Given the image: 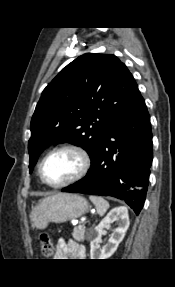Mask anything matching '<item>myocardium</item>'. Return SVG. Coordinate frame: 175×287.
I'll list each match as a JSON object with an SVG mask.
<instances>
[{"instance_id":"1","label":"myocardium","mask_w":175,"mask_h":287,"mask_svg":"<svg viewBox=\"0 0 175 287\" xmlns=\"http://www.w3.org/2000/svg\"><path fill=\"white\" fill-rule=\"evenodd\" d=\"M65 150L72 151L79 156V158L81 160L80 169L73 177H71L70 179H68L62 183H58V184L49 183L44 178V173H43L44 164L51 155H53L56 152L65 151ZM90 167H91V158L85 149H83L80 146L73 145V144H64V145H60V146H57V147L51 149L43 157V159L41 160L40 165H39V177H40L41 181L48 187L62 188V187L68 186L70 184H73L75 182H78L79 180L84 178V176L88 173Z\"/></svg>"}]
</instances>
